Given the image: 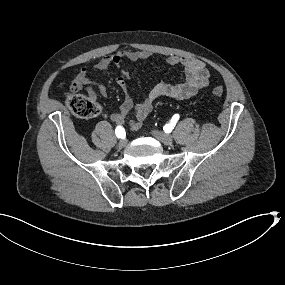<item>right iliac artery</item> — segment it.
<instances>
[{
	"label": "right iliac artery",
	"mask_w": 285,
	"mask_h": 285,
	"mask_svg": "<svg viewBox=\"0 0 285 285\" xmlns=\"http://www.w3.org/2000/svg\"><path fill=\"white\" fill-rule=\"evenodd\" d=\"M115 134L118 138H123L125 136V130L122 126H117L115 129Z\"/></svg>",
	"instance_id": "obj_1"
}]
</instances>
